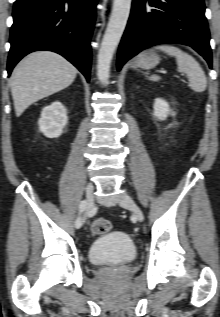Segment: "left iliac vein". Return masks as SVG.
I'll use <instances>...</instances> for the list:
<instances>
[{
  "mask_svg": "<svg viewBox=\"0 0 220 317\" xmlns=\"http://www.w3.org/2000/svg\"><path fill=\"white\" fill-rule=\"evenodd\" d=\"M119 205L123 208L129 209L139 222H142L144 220L142 210L130 196L124 195L123 197H121L119 199Z\"/></svg>",
  "mask_w": 220,
  "mask_h": 317,
  "instance_id": "1",
  "label": "left iliac vein"
}]
</instances>
